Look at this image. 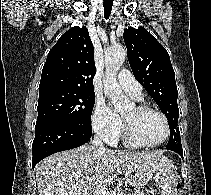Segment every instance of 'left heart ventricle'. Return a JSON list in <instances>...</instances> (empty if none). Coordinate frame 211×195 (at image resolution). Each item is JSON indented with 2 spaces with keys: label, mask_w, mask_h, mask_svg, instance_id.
<instances>
[{
  "label": "left heart ventricle",
  "mask_w": 211,
  "mask_h": 195,
  "mask_svg": "<svg viewBox=\"0 0 211 195\" xmlns=\"http://www.w3.org/2000/svg\"><path fill=\"white\" fill-rule=\"evenodd\" d=\"M123 117L131 123L137 136L144 142L156 143L165 136V123L157 113H140L133 107L126 111Z\"/></svg>",
  "instance_id": "obj_1"
}]
</instances>
